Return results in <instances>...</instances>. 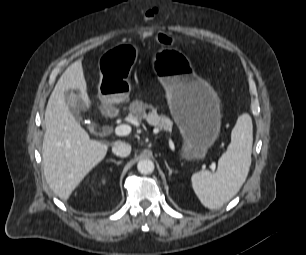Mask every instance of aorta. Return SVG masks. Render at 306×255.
I'll return each mask as SVG.
<instances>
[{"mask_svg": "<svg viewBox=\"0 0 306 255\" xmlns=\"http://www.w3.org/2000/svg\"><path fill=\"white\" fill-rule=\"evenodd\" d=\"M154 163L150 159H142L137 164V169L141 174H150L154 171Z\"/></svg>", "mask_w": 306, "mask_h": 255, "instance_id": "762f6f07", "label": "aorta"}]
</instances>
